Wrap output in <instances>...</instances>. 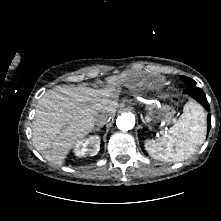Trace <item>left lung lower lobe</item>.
I'll list each match as a JSON object with an SVG mask.
<instances>
[{
    "label": "left lung lower lobe",
    "mask_w": 221,
    "mask_h": 221,
    "mask_svg": "<svg viewBox=\"0 0 221 221\" xmlns=\"http://www.w3.org/2000/svg\"><path fill=\"white\" fill-rule=\"evenodd\" d=\"M185 93L190 94L199 103H201L205 109H207V110L210 109L206 95L201 88L197 87L196 85L195 86H188V88L185 90ZM207 120H208V133H209L210 128H211V115L210 114H208Z\"/></svg>",
    "instance_id": "obj_1"
}]
</instances>
